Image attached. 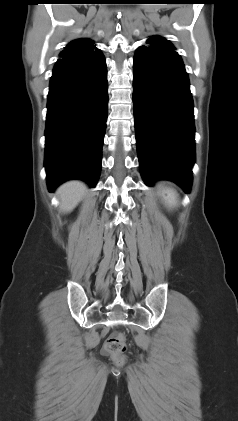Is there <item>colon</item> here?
Masks as SVG:
<instances>
[{
  "mask_svg": "<svg viewBox=\"0 0 238 421\" xmlns=\"http://www.w3.org/2000/svg\"><path fill=\"white\" fill-rule=\"evenodd\" d=\"M104 350L112 357L115 363L121 364L124 361V354L126 351V341L124 335H111L104 344Z\"/></svg>",
  "mask_w": 238,
  "mask_h": 421,
  "instance_id": "colon-1",
  "label": "colon"
}]
</instances>
